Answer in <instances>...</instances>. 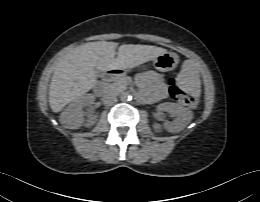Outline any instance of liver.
<instances>
[{"label": "liver", "mask_w": 260, "mask_h": 202, "mask_svg": "<svg viewBox=\"0 0 260 202\" xmlns=\"http://www.w3.org/2000/svg\"><path fill=\"white\" fill-rule=\"evenodd\" d=\"M117 46L116 42L106 41L85 43L57 63L49 89V103L53 112H60L68 103L95 86V69L102 72L132 69L167 52L157 46L123 44L116 53Z\"/></svg>", "instance_id": "6515ba94"}]
</instances>
